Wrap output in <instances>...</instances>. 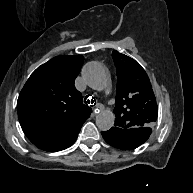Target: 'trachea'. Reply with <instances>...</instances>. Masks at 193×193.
Returning a JSON list of instances; mask_svg holds the SVG:
<instances>
[{
    "mask_svg": "<svg viewBox=\"0 0 193 193\" xmlns=\"http://www.w3.org/2000/svg\"><path fill=\"white\" fill-rule=\"evenodd\" d=\"M90 95H87L86 97H85V99H84V103L85 104H93L94 103V101H95V104H96V100H95V98L94 97H92V99L91 100H89L88 99V97H89ZM94 99V100H93ZM94 104V105H95ZM94 105H91V106H94Z\"/></svg>",
    "mask_w": 193,
    "mask_h": 193,
    "instance_id": "1",
    "label": "trachea"
}]
</instances>
